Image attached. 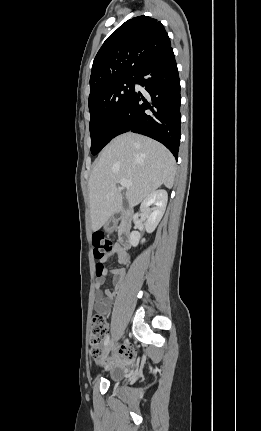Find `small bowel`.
<instances>
[{"label":"small bowel","mask_w":261,"mask_h":431,"mask_svg":"<svg viewBox=\"0 0 261 431\" xmlns=\"http://www.w3.org/2000/svg\"><path fill=\"white\" fill-rule=\"evenodd\" d=\"M116 255L120 264H128L130 261L127 252L118 244H114L112 252L109 256ZM112 275L114 288L102 290L101 287L104 284L105 276ZM125 275L124 269L104 268L101 276H97L95 287H96V302L95 310L102 314H107L111 310L112 302L116 296L117 290L121 284V280Z\"/></svg>","instance_id":"obj_1"}]
</instances>
